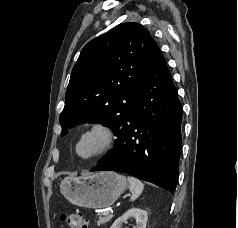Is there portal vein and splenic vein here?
<instances>
[{"mask_svg":"<svg viewBox=\"0 0 238 228\" xmlns=\"http://www.w3.org/2000/svg\"><path fill=\"white\" fill-rule=\"evenodd\" d=\"M112 213H113V211H112V210H109V211L103 212V215L112 214Z\"/></svg>","mask_w":238,"mask_h":228,"instance_id":"obj_1","label":"portal vein and splenic vein"}]
</instances>
